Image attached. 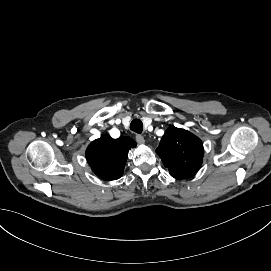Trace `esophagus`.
Segmentation results:
<instances>
[{
  "mask_svg": "<svg viewBox=\"0 0 271 271\" xmlns=\"http://www.w3.org/2000/svg\"><path fill=\"white\" fill-rule=\"evenodd\" d=\"M136 141L139 143V144H144L145 141H146V138L144 136H142L141 134H137L136 135Z\"/></svg>",
  "mask_w": 271,
  "mask_h": 271,
  "instance_id": "34e87169",
  "label": "esophagus"
}]
</instances>
